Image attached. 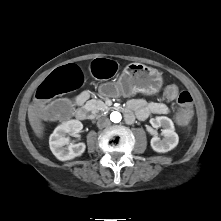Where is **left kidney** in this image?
Here are the masks:
<instances>
[{"label": "left kidney", "mask_w": 221, "mask_h": 221, "mask_svg": "<svg viewBox=\"0 0 221 221\" xmlns=\"http://www.w3.org/2000/svg\"><path fill=\"white\" fill-rule=\"evenodd\" d=\"M150 123L154 128L162 127V135L164 138L161 140L158 136L151 139V147L158 153H166L174 149L179 142V137L174 131V124L172 120L166 116H159L150 119Z\"/></svg>", "instance_id": "5707ae66"}]
</instances>
